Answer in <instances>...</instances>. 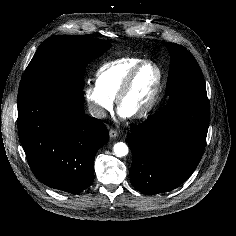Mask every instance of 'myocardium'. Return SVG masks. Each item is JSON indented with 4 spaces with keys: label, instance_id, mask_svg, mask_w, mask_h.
Segmentation results:
<instances>
[{
    "label": "myocardium",
    "instance_id": "obj_1",
    "mask_svg": "<svg viewBox=\"0 0 236 236\" xmlns=\"http://www.w3.org/2000/svg\"><path fill=\"white\" fill-rule=\"evenodd\" d=\"M147 65H153L158 71L157 87L150 101L148 102V104L141 111L129 116V118L132 120H140L149 116L152 113V111L155 109L156 105L158 104L162 90H163V86H164L163 69L157 62L153 60H144L138 65H136L133 69H131V71L126 76L124 82L122 83L116 97V105H117L118 110L121 109V103L123 99L125 98V96L128 94V92L130 91L137 74L143 67Z\"/></svg>",
    "mask_w": 236,
    "mask_h": 236
}]
</instances>
